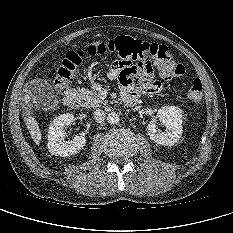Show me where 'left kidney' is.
Returning <instances> with one entry per match:
<instances>
[{
	"label": "left kidney",
	"mask_w": 233,
	"mask_h": 233,
	"mask_svg": "<svg viewBox=\"0 0 233 233\" xmlns=\"http://www.w3.org/2000/svg\"><path fill=\"white\" fill-rule=\"evenodd\" d=\"M156 117L165 126V131L157 130L155 120L147 125V133L152 141L157 144L172 146L178 142L182 135V110L176 106L161 107Z\"/></svg>",
	"instance_id": "left-kidney-1"
}]
</instances>
